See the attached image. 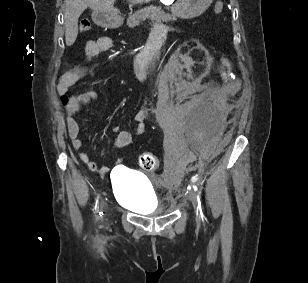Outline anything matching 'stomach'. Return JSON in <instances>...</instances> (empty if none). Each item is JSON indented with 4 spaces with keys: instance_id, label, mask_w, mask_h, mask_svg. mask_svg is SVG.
Segmentation results:
<instances>
[{
    "instance_id": "0dacf381",
    "label": "stomach",
    "mask_w": 308,
    "mask_h": 283,
    "mask_svg": "<svg viewBox=\"0 0 308 283\" xmlns=\"http://www.w3.org/2000/svg\"><path fill=\"white\" fill-rule=\"evenodd\" d=\"M213 0H176L171 6V12L182 19H192L204 13ZM94 21L104 27L118 28L123 19L112 13L97 11Z\"/></svg>"
}]
</instances>
